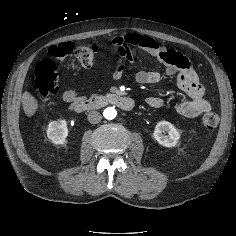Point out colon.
I'll return each instance as SVG.
<instances>
[{"mask_svg": "<svg viewBox=\"0 0 236 236\" xmlns=\"http://www.w3.org/2000/svg\"><path fill=\"white\" fill-rule=\"evenodd\" d=\"M75 51V56L81 65L89 67L92 65L96 54L97 46L87 45L78 47L75 50L74 44L64 42L53 45L49 49L52 58L63 60ZM59 90V77L55 64L50 59L42 60L35 69L33 92L37 97H46L55 94ZM203 125L208 129H214L219 123V117L214 112H207L202 117Z\"/></svg>", "mask_w": 236, "mask_h": 236, "instance_id": "obj_1", "label": "colon"}]
</instances>
